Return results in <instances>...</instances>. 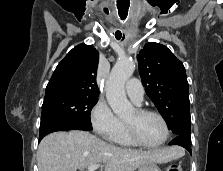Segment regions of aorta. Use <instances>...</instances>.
Listing matches in <instances>:
<instances>
[{"label":"aorta","instance_id":"762f6f07","mask_svg":"<svg viewBox=\"0 0 223 171\" xmlns=\"http://www.w3.org/2000/svg\"><path fill=\"white\" fill-rule=\"evenodd\" d=\"M135 63L131 59L119 60L111 70L106 83V98L114 114L121 117L132 111L133 106L125 93V83L132 76Z\"/></svg>","mask_w":223,"mask_h":171}]
</instances>
